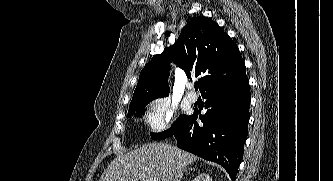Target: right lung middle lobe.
<instances>
[{"label": "right lung middle lobe", "mask_w": 333, "mask_h": 181, "mask_svg": "<svg viewBox=\"0 0 333 181\" xmlns=\"http://www.w3.org/2000/svg\"><path fill=\"white\" fill-rule=\"evenodd\" d=\"M150 101H145L137 106L129 108L128 117H130L131 115H135L136 117H141L145 113V106ZM185 117L186 115H180L177 121L169 129L161 133H151V138L155 140H161L169 136H172Z\"/></svg>", "instance_id": "right-lung-middle-lobe-1"}]
</instances>
